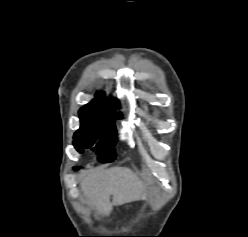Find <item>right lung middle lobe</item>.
Returning a JSON list of instances; mask_svg holds the SVG:
<instances>
[{
    "label": "right lung middle lobe",
    "instance_id": "1",
    "mask_svg": "<svg viewBox=\"0 0 248 237\" xmlns=\"http://www.w3.org/2000/svg\"><path fill=\"white\" fill-rule=\"evenodd\" d=\"M80 115L81 126L74 133V147L82 153L83 148H92L101 162H111L116 158L115 143L117 140L114 118H100ZM78 169L77 167L75 168Z\"/></svg>",
    "mask_w": 248,
    "mask_h": 237
}]
</instances>
